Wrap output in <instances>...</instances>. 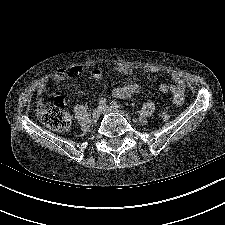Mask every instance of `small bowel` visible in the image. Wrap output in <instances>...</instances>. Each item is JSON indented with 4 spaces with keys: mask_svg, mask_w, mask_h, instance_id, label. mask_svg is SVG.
I'll list each match as a JSON object with an SVG mask.
<instances>
[{
    "mask_svg": "<svg viewBox=\"0 0 225 225\" xmlns=\"http://www.w3.org/2000/svg\"><path fill=\"white\" fill-rule=\"evenodd\" d=\"M116 71L125 76L132 75V69L128 65H119ZM81 73V68L78 66H73L69 69H58L54 73V79L56 81H63L68 75L78 76ZM90 77L93 80H99L102 77V73L99 69H94L90 72ZM139 86L137 84H127L118 86L113 89V95L120 99H125L139 91ZM160 90L162 92L171 91L173 93V101L176 105H181L184 101V84L181 78L174 77V85L168 86L167 84H161ZM47 91V84L45 82H40L36 89L37 102L42 105L44 102V94Z\"/></svg>",
    "mask_w": 225,
    "mask_h": 225,
    "instance_id": "small-bowel-1",
    "label": "small bowel"
}]
</instances>
